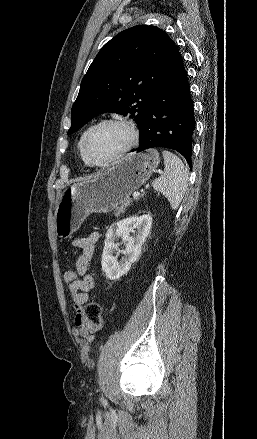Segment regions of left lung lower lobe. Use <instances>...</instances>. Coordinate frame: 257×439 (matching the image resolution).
<instances>
[{"label":"left lung lower lobe","mask_w":257,"mask_h":439,"mask_svg":"<svg viewBox=\"0 0 257 439\" xmlns=\"http://www.w3.org/2000/svg\"><path fill=\"white\" fill-rule=\"evenodd\" d=\"M194 131V109L187 72L178 52L140 125V145L131 152L154 147L169 148L183 155L191 167Z\"/></svg>","instance_id":"left-lung-lower-lobe-1"}]
</instances>
